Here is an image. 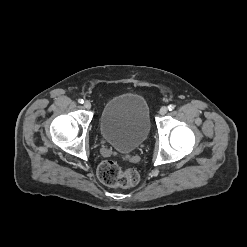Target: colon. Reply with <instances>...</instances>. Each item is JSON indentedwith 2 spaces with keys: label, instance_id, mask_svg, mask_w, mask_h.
Returning <instances> with one entry per match:
<instances>
[{
  "label": "colon",
  "instance_id": "colon-1",
  "mask_svg": "<svg viewBox=\"0 0 247 247\" xmlns=\"http://www.w3.org/2000/svg\"><path fill=\"white\" fill-rule=\"evenodd\" d=\"M99 179L107 186L129 188L139 181V174L133 168H122L113 160L103 161L97 171Z\"/></svg>",
  "mask_w": 247,
  "mask_h": 247
}]
</instances>
